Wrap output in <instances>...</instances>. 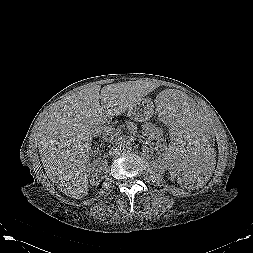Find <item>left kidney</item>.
I'll list each match as a JSON object with an SVG mask.
<instances>
[{"mask_svg":"<svg viewBox=\"0 0 253 253\" xmlns=\"http://www.w3.org/2000/svg\"><path fill=\"white\" fill-rule=\"evenodd\" d=\"M142 133L145 136H149L150 138H154L157 140V147H159V149L162 151L164 159H167V156H168L167 146L165 142H163V138H162L163 131L152 124H147L143 126ZM173 175L178 176L177 173H173Z\"/></svg>","mask_w":253,"mask_h":253,"instance_id":"5707ae66","label":"left kidney"}]
</instances>
